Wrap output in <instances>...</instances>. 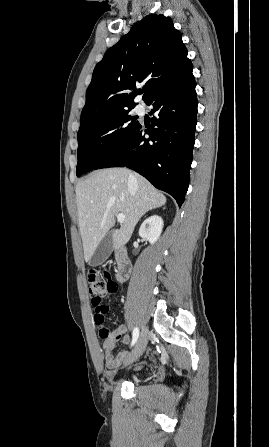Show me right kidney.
Listing matches in <instances>:
<instances>
[{"mask_svg":"<svg viewBox=\"0 0 269 447\" xmlns=\"http://www.w3.org/2000/svg\"><path fill=\"white\" fill-rule=\"evenodd\" d=\"M164 222L160 216H150L140 225V237H146L150 243H155L159 239Z\"/></svg>","mask_w":269,"mask_h":447,"instance_id":"obj_1","label":"right kidney"}]
</instances>
